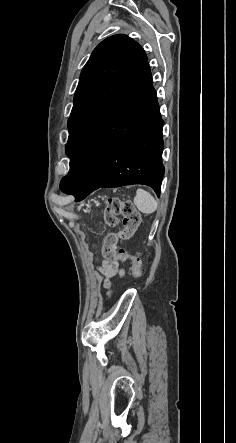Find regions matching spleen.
I'll use <instances>...</instances> for the list:
<instances>
[{
  "instance_id": "1",
  "label": "spleen",
  "mask_w": 236,
  "mask_h": 443,
  "mask_svg": "<svg viewBox=\"0 0 236 443\" xmlns=\"http://www.w3.org/2000/svg\"><path fill=\"white\" fill-rule=\"evenodd\" d=\"M134 204L138 210L145 214H151L157 209V202L154 197L144 189H138L134 198Z\"/></svg>"
}]
</instances>
